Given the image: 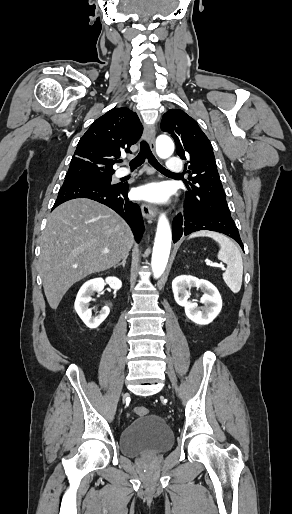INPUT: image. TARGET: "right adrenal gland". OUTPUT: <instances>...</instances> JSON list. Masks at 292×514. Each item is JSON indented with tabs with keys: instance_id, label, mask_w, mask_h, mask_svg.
I'll return each instance as SVG.
<instances>
[{
	"instance_id": "right-adrenal-gland-1",
	"label": "right adrenal gland",
	"mask_w": 292,
	"mask_h": 514,
	"mask_svg": "<svg viewBox=\"0 0 292 514\" xmlns=\"http://www.w3.org/2000/svg\"><path fill=\"white\" fill-rule=\"evenodd\" d=\"M126 260H127V256H126V258H124V260H122L121 264H117V266H114V268H118V266H123V268H125Z\"/></svg>"
}]
</instances>
